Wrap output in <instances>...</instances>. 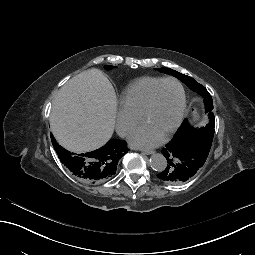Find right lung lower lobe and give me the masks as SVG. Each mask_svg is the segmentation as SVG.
Listing matches in <instances>:
<instances>
[{"mask_svg": "<svg viewBox=\"0 0 255 255\" xmlns=\"http://www.w3.org/2000/svg\"><path fill=\"white\" fill-rule=\"evenodd\" d=\"M100 176V159L92 155L83 157V177L85 179L98 178Z\"/></svg>", "mask_w": 255, "mask_h": 255, "instance_id": "obj_1", "label": "right lung lower lobe"}]
</instances>
